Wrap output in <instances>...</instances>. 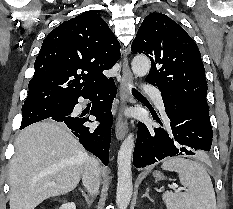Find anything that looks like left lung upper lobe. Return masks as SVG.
Instances as JSON below:
<instances>
[{
	"label": "left lung upper lobe",
	"mask_w": 233,
	"mask_h": 209,
	"mask_svg": "<svg viewBox=\"0 0 233 209\" xmlns=\"http://www.w3.org/2000/svg\"><path fill=\"white\" fill-rule=\"evenodd\" d=\"M131 49L150 58L148 83L209 114L200 51L180 25L165 14L150 13L143 20Z\"/></svg>",
	"instance_id": "1"
}]
</instances>
